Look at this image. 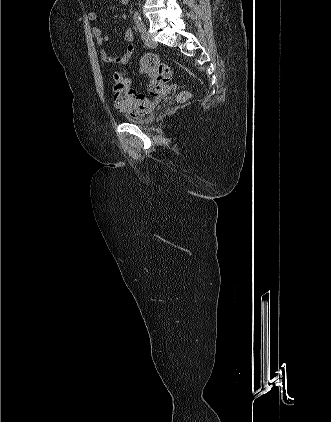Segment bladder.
Returning a JSON list of instances; mask_svg holds the SVG:
<instances>
[{"label": "bladder", "instance_id": "1", "mask_svg": "<svg viewBox=\"0 0 331 422\" xmlns=\"http://www.w3.org/2000/svg\"><path fill=\"white\" fill-rule=\"evenodd\" d=\"M124 119L131 124L139 125V126H147L153 123L154 121V114L149 112L142 116H132V115H125Z\"/></svg>", "mask_w": 331, "mask_h": 422}]
</instances>
